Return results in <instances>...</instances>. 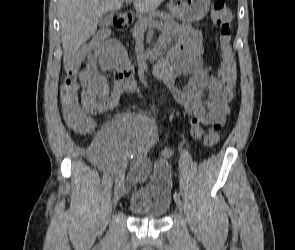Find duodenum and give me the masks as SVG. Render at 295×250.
<instances>
[{
    "mask_svg": "<svg viewBox=\"0 0 295 250\" xmlns=\"http://www.w3.org/2000/svg\"><path fill=\"white\" fill-rule=\"evenodd\" d=\"M131 18L132 16L129 12L124 11V12L117 13L113 18V25L115 29L120 31L126 30L131 22ZM156 55H158V49L153 48L150 52V56L154 57ZM121 72L127 75L132 73V68L128 65V63H126V61L123 63Z\"/></svg>",
    "mask_w": 295,
    "mask_h": 250,
    "instance_id": "410a0bca",
    "label": "duodenum"
}]
</instances>
